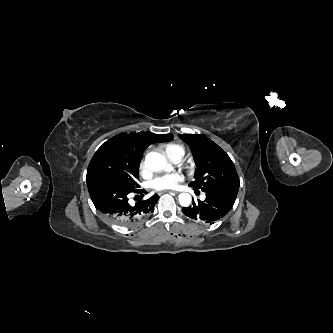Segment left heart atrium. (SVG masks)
<instances>
[{"mask_svg":"<svg viewBox=\"0 0 333 333\" xmlns=\"http://www.w3.org/2000/svg\"><path fill=\"white\" fill-rule=\"evenodd\" d=\"M182 179L183 177L179 173H168L154 178L151 181V186L159 191L173 189L180 181H182Z\"/></svg>","mask_w":333,"mask_h":333,"instance_id":"39dd6f15","label":"left heart atrium"}]
</instances>
